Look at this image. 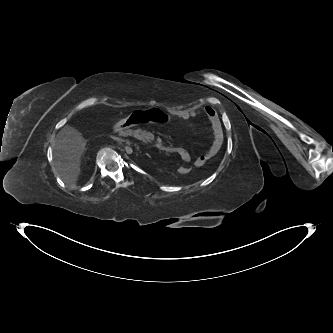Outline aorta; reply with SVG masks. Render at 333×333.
<instances>
[{
	"mask_svg": "<svg viewBox=\"0 0 333 333\" xmlns=\"http://www.w3.org/2000/svg\"><path fill=\"white\" fill-rule=\"evenodd\" d=\"M126 151H127V153H131L132 152V148L131 147H126Z\"/></svg>",
	"mask_w": 333,
	"mask_h": 333,
	"instance_id": "obj_1",
	"label": "aorta"
}]
</instances>
